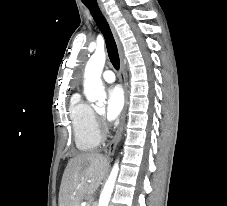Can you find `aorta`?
Returning a JSON list of instances; mask_svg holds the SVG:
<instances>
[{
	"label": "aorta",
	"mask_w": 227,
	"mask_h": 206,
	"mask_svg": "<svg viewBox=\"0 0 227 206\" xmlns=\"http://www.w3.org/2000/svg\"><path fill=\"white\" fill-rule=\"evenodd\" d=\"M106 54L103 50L95 51L90 57L84 72V94L88 101L103 105L106 93L101 80V74L105 65ZM119 172V165L116 162L100 194L98 206H108L114 190L115 182Z\"/></svg>",
	"instance_id": "aorta-1"
}]
</instances>
